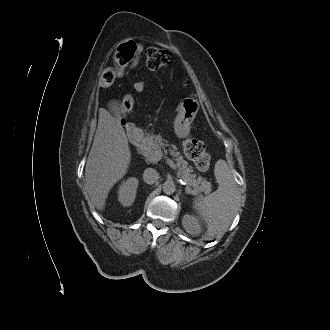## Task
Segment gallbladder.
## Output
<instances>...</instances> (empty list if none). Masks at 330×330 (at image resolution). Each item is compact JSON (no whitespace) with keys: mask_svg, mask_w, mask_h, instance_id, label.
I'll list each match as a JSON object with an SVG mask.
<instances>
[{"mask_svg":"<svg viewBox=\"0 0 330 330\" xmlns=\"http://www.w3.org/2000/svg\"><path fill=\"white\" fill-rule=\"evenodd\" d=\"M114 115H122L123 114V109L118 107V109H116L115 111H113Z\"/></svg>","mask_w":330,"mask_h":330,"instance_id":"obj_1","label":"gallbladder"}]
</instances>
